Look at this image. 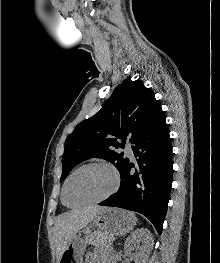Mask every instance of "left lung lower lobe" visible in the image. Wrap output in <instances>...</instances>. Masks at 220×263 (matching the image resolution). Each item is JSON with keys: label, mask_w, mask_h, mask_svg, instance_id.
I'll return each mask as SVG.
<instances>
[{"label": "left lung lower lobe", "mask_w": 220, "mask_h": 263, "mask_svg": "<svg viewBox=\"0 0 220 263\" xmlns=\"http://www.w3.org/2000/svg\"><path fill=\"white\" fill-rule=\"evenodd\" d=\"M137 165L129 160L121 172L117 193L99 203L146 216L162 233L172 185V146L165 117L132 147Z\"/></svg>", "instance_id": "left-lung-lower-lobe-1"}]
</instances>
